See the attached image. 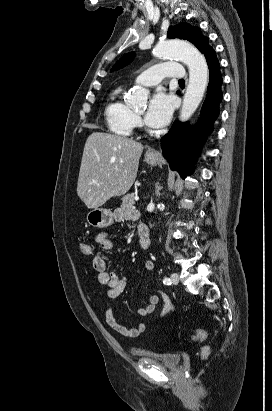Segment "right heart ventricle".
Masks as SVG:
<instances>
[{
	"label": "right heart ventricle",
	"mask_w": 272,
	"mask_h": 411,
	"mask_svg": "<svg viewBox=\"0 0 272 411\" xmlns=\"http://www.w3.org/2000/svg\"><path fill=\"white\" fill-rule=\"evenodd\" d=\"M105 116L110 131L121 136H129L135 127L132 107L122 99L121 90H114L107 102Z\"/></svg>",
	"instance_id": "obj_1"
}]
</instances>
